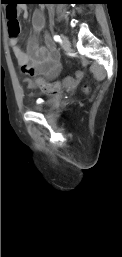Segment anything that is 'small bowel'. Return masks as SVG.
I'll return each mask as SVG.
<instances>
[{
  "instance_id": "1",
  "label": "small bowel",
  "mask_w": 122,
  "mask_h": 257,
  "mask_svg": "<svg viewBox=\"0 0 122 257\" xmlns=\"http://www.w3.org/2000/svg\"><path fill=\"white\" fill-rule=\"evenodd\" d=\"M16 12L17 14L20 13L25 19L29 17L26 6L18 7ZM44 25V13L41 10H36L32 17L34 36L28 41L27 51L22 50L17 37H10L9 44L23 73L29 76H40L46 80H51L59 75L61 65L59 54L50 40H46V46L39 45L37 41L36 35L44 28ZM38 97H45L43 89L39 90Z\"/></svg>"
}]
</instances>
